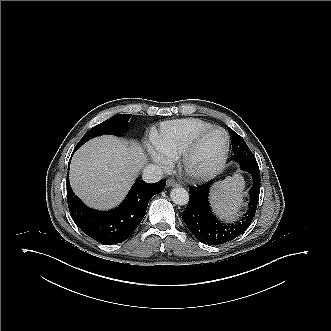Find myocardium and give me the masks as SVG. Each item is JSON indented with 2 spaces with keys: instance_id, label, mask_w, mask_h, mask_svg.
<instances>
[{
  "instance_id": "obj_1",
  "label": "myocardium",
  "mask_w": 331,
  "mask_h": 331,
  "mask_svg": "<svg viewBox=\"0 0 331 331\" xmlns=\"http://www.w3.org/2000/svg\"><path fill=\"white\" fill-rule=\"evenodd\" d=\"M219 131L224 135L225 138V145L224 149L221 153V156L219 159L212 164L211 166H208L203 169H193L190 166V161L194 157L196 151L198 150L200 144L204 140L206 136L209 134ZM229 148H230V138L227 133V131L221 127L218 126H212L199 134H197L185 147L182 154L179 156V169L180 171L189 179L191 180H205L213 175H215L220 169L224 166L226 163L228 154H229Z\"/></svg>"
}]
</instances>
